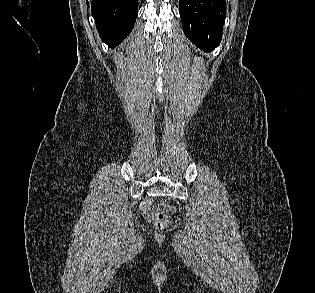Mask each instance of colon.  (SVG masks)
<instances>
[{
    "label": "colon",
    "instance_id": "5ec220e1",
    "mask_svg": "<svg viewBox=\"0 0 315 293\" xmlns=\"http://www.w3.org/2000/svg\"><path fill=\"white\" fill-rule=\"evenodd\" d=\"M142 209L145 213H153V225L157 229H164L169 224V218L164 209L154 210V207L151 202H145L142 206Z\"/></svg>",
    "mask_w": 315,
    "mask_h": 293
}]
</instances>
